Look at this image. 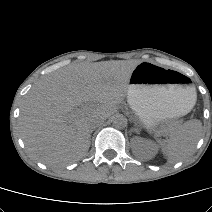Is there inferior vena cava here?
Listing matches in <instances>:
<instances>
[{"instance_id": "obj_1", "label": "inferior vena cava", "mask_w": 212, "mask_h": 212, "mask_svg": "<svg viewBox=\"0 0 212 212\" xmlns=\"http://www.w3.org/2000/svg\"><path fill=\"white\" fill-rule=\"evenodd\" d=\"M104 118L98 116V115H93L88 119V126L89 128H95L101 123H103Z\"/></svg>"}]
</instances>
